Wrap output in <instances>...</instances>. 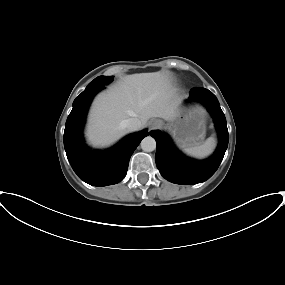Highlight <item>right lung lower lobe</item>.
Returning a JSON list of instances; mask_svg holds the SVG:
<instances>
[{
	"label": "right lung lower lobe",
	"mask_w": 285,
	"mask_h": 285,
	"mask_svg": "<svg viewBox=\"0 0 285 285\" xmlns=\"http://www.w3.org/2000/svg\"><path fill=\"white\" fill-rule=\"evenodd\" d=\"M103 87L82 92L73 102L64 131V147L67 158L78 177L93 186H107L120 182L126 175L129 160L147 130L130 134L114 147L105 151L88 148L82 137L88 107Z\"/></svg>",
	"instance_id": "98d812e1"
}]
</instances>
